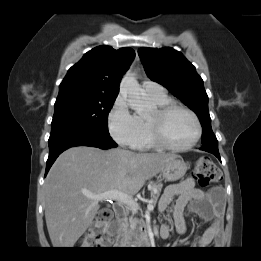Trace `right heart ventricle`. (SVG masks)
Instances as JSON below:
<instances>
[{
  "mask_svg": "<svg viewBox=\"0 0 261 261\" xmlns=\"http://www.w3.org/2000/svg\"><path fill=\"white\" fill-rule=\"evenodd\" d=\"M147 96L155 107L162 106V105H165L166 103L170 102L169 97L165 93L162 95L147 94ZM135 116L140 125V138H139V142L135 148L150 149V148L155 147V144L153 143V141L150 137L148 124H147V116L142 115V114H136Z\"/></svg>",
  "mask_w": 261,
  "mask_h": 261,
  "instance_id": "1",
  "label": "right heart ventricle"
}]
</instances>
